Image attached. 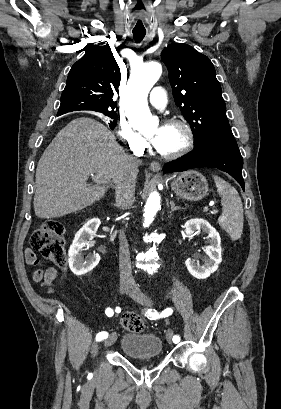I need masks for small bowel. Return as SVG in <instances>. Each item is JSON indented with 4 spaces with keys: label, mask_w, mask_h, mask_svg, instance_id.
I'll list each match as a JSON object with an SVG mask.
<instances>
[{
    "label": "small bowel",
    "mask_w": 281,
    "mask_h": 409,
    "mask_svg": "<svg viewBox=\"0 0 281 409\" xmlns=\"http://www.w3.org/2000/svg\"><path fill=\"white\" fill-rule=\"evenodd\" d=\"M23 256L26 259L25 264L27 267H37L36 271L33 273V281H42L43 285L48 287V291L53 292L52 283L59 276V270L56 267H48L44 270L33 250H25Z\"/></svg>",
    "instance_id": "obj_1"
}]
</instances>
